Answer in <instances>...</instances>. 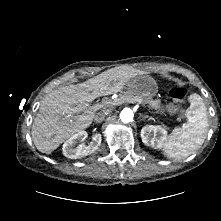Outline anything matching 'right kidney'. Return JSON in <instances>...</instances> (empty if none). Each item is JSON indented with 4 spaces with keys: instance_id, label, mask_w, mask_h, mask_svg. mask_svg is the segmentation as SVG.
Masks as SVG:
<instances>
[{
    "instance_id": "right-kidney-1",
    "label": "right kidney",
    "mask_w": 221,
    "mask_h": 221,
    "mask_svg": "<svg viewBox=\"0 0 221 221\" xmlns=\"http://www.w3.org/2000/svg\"><path fill=\"white\" fill-rule=\"evenodd\" d=\"M86 131H79L78 133L71 136L64 144H63V155L70 159L82 158L90 153L94 152L98 149L101 144V134H95L93 137V142L90 143L89 146H85L84 144H80L75 147V144L78 141H83L87 138Z\"/></svg>"
}]
</instances>
